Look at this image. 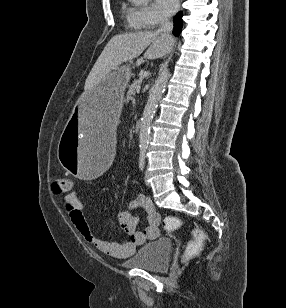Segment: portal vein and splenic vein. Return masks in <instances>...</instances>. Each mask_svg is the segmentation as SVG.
I'll return each mask as SVG.
<instances>
[{"label": "portal vein and splenic vein", "mask_w": 286, "mask_h": 308, "mask_svg": "<svg viewBox=\"0 0 286 308\" xmlns=\"http://www.w3.org/2000/svg\"><path fill=\"white\" fill-rule=\"evenodd\" d=\"M136 91H137V93H139L140 92V87H137Z\"/></svg>", "instance_id": "portal-vein-and-splenic-vein-1"}]
</instances>
